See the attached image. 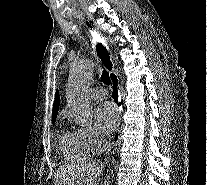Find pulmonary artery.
Listing matches in <instances>:
<instances>
[{"instance_id":"1","label":"pulmonary artery","mask_w":207,"mask_h":185,"mask_svg":"<svg viewBox=\"0 0 207 185\" xmlns=\"http://www.w3.org/2000/svg\"><path fill=\"white\" fill-rule=\"evenodd\" d=\"M108 92L103 87H96L91 90L90 96L93 100L101 101L107 98Z\"/></svg>"}]
</instances>
